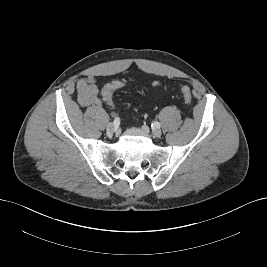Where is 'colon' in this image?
Wrapping results in <instances>:
<instances>
[{
	"mask_svg": "<svg viewBox=\"0 0 267 267\" xmlns=\"http://www.w3.org/2000/svg\"><path fill=\"white\" fill-rule=\"evenodd\" d=\"M126 85L125 81L122 80H114L105 85V87L102 90V99L109 105L113 106V101H112V94L115 90L123 87ZM181 93L183 95V98L187 104H190L192 101V94L190 89L187 86H182L180 88Z\"/></svg>",
	"mask_w": 267,
	"mask_h": 267,
	"instance_id": "colon-1",
	"label": "colon"
}]
</instances>
